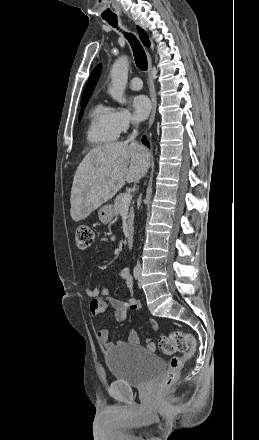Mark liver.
Wrapping results in <instances>:
<instances>
[{
	"instance_id": "liver-1",
	"label": "liver",
	"mask_w": 259,
	"mask_h": 440,
	"mask_svg": "<svg viewBox=\"0 0 259 440\" xmlns=\"http://www.w3.org/2000/svg\"><path fill=\"white\" fill-rule=\"evenodd\" d=\"M150 167L149 152L138 143L114 142L93 148L79 164L71 189L74 221L110 200L126 182L139 181Z\"/></svg>"
}]
</instances>
